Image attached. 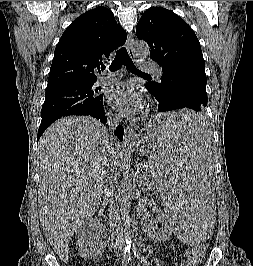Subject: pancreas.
<instances>
[{
	"mask_svg": "<svg viewBox=\"0 0 253 266\" xmlns=\"http://www.w3.org/2000/svg\"><path fill=\"white\" fill-rule=\"evenodd\" d=\"M145 177H146V176H145ZM145 180H146L147 185H151V183H150V181H149L148 178H145Z\"/></svg>",
	"mask_w": 253,
	"mask_h": 266,
	"instance_id": "pancreas-1",
	"label": "pancreas"
}]
</instances>
